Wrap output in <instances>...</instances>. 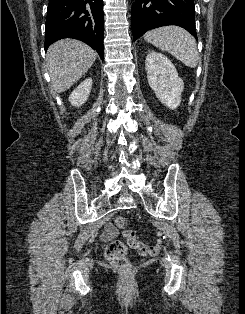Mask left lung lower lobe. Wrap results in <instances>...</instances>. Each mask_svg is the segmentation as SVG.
<instances>
[{
  "label": "left lung lower lobe",
  "mask_w": 245,
  "mask_h": 314,
  "mask_svg": "<svg viewBox=\"0 0 245 314\" xmlns=\"http://www.w3.org/2000/svg\"><path fill=\"white\" fill-rule=\"evenodd\" d=\"M177 25L196 39L194 0H136L131 8L133 39L152 28Z\"/></svg>",
  "instance_id": "obj_1"
}]
</instances>
